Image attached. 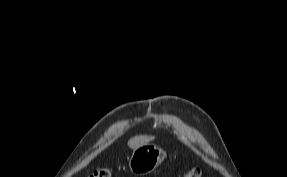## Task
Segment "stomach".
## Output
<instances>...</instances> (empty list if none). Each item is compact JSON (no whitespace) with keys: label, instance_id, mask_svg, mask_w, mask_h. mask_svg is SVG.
Returning <instances> with one entry per match:
<instances>
[{"label":"stomach","instance_id":"stomach-1","mask_svg":"<svg viewBox=\"0 0 287 177\" xmlns=\"http://www.w3.org/2000/svg\"><path fill=\"white\" fill-rule=\"evenodd\" d=\"M166 153L154 144H144L133 150L129 168L133 174L146 175L153 172L164 160Z\"/></svg>","mask_w":287,"mask_h":177}]
</instances>
